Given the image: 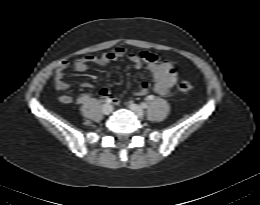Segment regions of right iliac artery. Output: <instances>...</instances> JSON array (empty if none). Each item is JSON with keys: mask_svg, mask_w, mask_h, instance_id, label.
I'll return each instance as SVG.
<instances>
[{"mask_svg": "<svg viewBox=\"0 0 260 205\" xmlns=\"http://www.w3.org/2000/svg\"><path fill=\"white\" fill-rule=\"evenodd\" d=\"M105 102L109 104V103L111 102V100L107 98V99L105 100Z\"/></svg>", "mask_w": 260, "mask_h": 205, "instance_id": "obj_1", "label": "right iliac artery"}]
</instances>
